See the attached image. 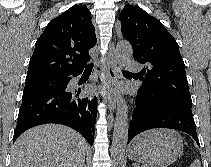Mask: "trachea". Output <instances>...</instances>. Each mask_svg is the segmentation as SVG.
Instances as JSON below:
<instances>
[{"label":"trachea","instance_id":"1","mask_svg":"<svg viewBox=\"0 0 211 167\" xmlns=\"http://www.w3.org/2000/svg\"><path fill=\"white\" fill-rule=\"evenodd\" d=\"M93 68V63H90L87 67H86V69H92Z\"/></svg>","mask_w":211,"mask_h":167}]
</instances>
